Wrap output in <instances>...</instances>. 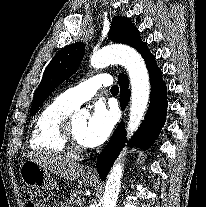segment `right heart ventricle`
I'll use <instances>...</instances> for the list:
<instances>
[{
  "mask_svg": "<svg viewBox=\"0 0 206 207\" xmlns=\"http://www.w3.org/2000/svg\"><path fill=\"white\" fill-rule=\"evenodd\" d=\"M74 110L62 96L47 103L35 118L29 146L34 150L66 152L60 140V128Z\"/></svg>",
  "mask_w": 206,
  "mask_h": 207,
  "instance_id": "e07e8e85",
  "label": "right heart ventricle"
}]
</instances>
